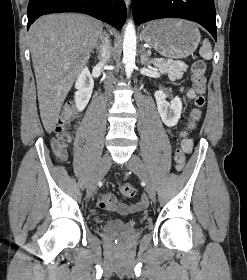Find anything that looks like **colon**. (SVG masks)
Here are the masks:
<instances>
[{
	"mask_svg": "<svg viewBox=\"0 0 247 280\" xmlns=\"http://www.w3.org/2000/svg\"><path fill=\"white\" fill-rule=\"evenodd\" d=\"M206 64L203 61H196L192 65L191 69V81L193 88L196 92L194 99L195 108L190 115V121L188 124V130L195 127L197 121L201 116V108L205 104L204 92L206 81ZM74 106L68 103L62 111L58 122L55 127V137L52 140V146L55 154L59 159H65L67 156V145L70 140L69 126L74 118ZM187 131H183L180 134V138H184ZM186 163V156L181 148H177L174 154V166L177 171H181ZM120 192L126 197H133L136 193L135 187L130 183H123L120 185Z\"/></svg>",
	"mask_w": 247,
	"mask_h": 280,
	"instance_id": "obj_1",
	"label": "colon"
}]
</instances>
